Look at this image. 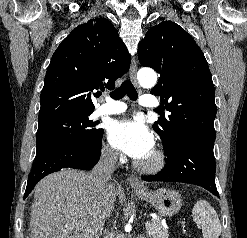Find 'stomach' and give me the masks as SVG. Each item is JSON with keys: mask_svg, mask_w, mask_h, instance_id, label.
Returning <instances> with one entry per match:
<instances>
[{"mask_svg": "<svg viewBox=\"0 0 247 238\" xmlns=\"http://www.w3.org/2000/svg\"><path fill=\"white\" fill-rule=\"evenodd\" d=\"M136 193L141 199L150 203L161 216H173L182 206L181 195L171 189L136 190Z\"/></svg>", "mask_w": 247, "mask_h": 238, "instance_id": "1", "label": "stomach"}]
</instances>
